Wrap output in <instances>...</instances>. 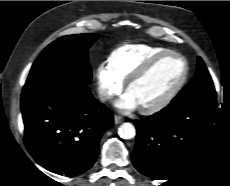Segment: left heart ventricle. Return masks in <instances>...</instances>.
Here are the masks:
<instances>
[{"label":"left heart ventricle","instance_id":"1","mask_svg":"<svg viewBox=\"0 0 230 186\" xmlns=\"http://www.w3.org/2000/svg\"><path fill=\"white\" fill-rule=\"evenodd\" d=\"M183 73V61L176 56H168L160 60L146 76L133 83L128 92L140 108L152 105L177 84Z\"/></svg>","mask_w":230,"mask_h":186}]
</instances>
